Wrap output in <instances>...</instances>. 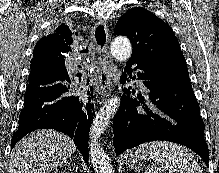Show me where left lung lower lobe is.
Here are the masks:
<instances>
[{"label":"left lung lower lobe","instance_id":"left-lung-lower-lobe-1","mask_svg":"<svg viewBox=\"0 0 219 173\" xmlns=\"http://www.w3.org/2000/svg\"><path fill=\"white\" fill-rule=\"evenodd\" d=\"M133 64H137L134 70L138 69L137 76L150 90L149 104L131 98L130 87L124 90L128 95H123L113 122L116 153L144 142L167 140L195 151L208 166L205 125L189 76L173 78L163 66L132 58L126 63L122 83L127 80L126 74L133 71Z\"/></svg>","mask_w":219,"mask_h":173}]
</instances>
